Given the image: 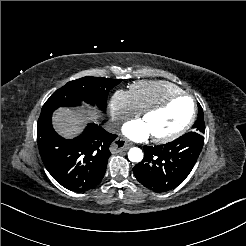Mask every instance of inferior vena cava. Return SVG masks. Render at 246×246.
<instances>
[{
	"mask_svg": "<svg viewBox=\"0 0 246 246\" xmlns=\"http://www.w3.org/2000/svg\"><path fill=\"white\" fill-rule=\"evenodd\" d=\"M112 126H113V125H109L108 127L111 129Z\"/></svg>",
	"mask_w": 246,
	"mask_h": 246,
	"instance_id": "602c4592",
	"label": "inferior vena cava"
}]
</instances>
